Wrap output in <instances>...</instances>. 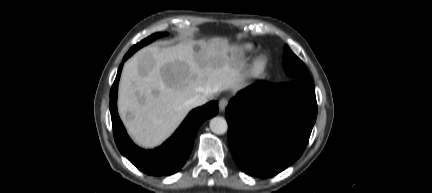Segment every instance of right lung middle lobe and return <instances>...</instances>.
<instances>
[{
  "instance_id": "1",
  "label": "right lung middle lobe",
  "mask_w": 432,
  "mask_h": 193,
  "mask_svg": "<svg viewBox=\"0 0 432 193\" xmlns=\"http://www.w3.org/2000/svg\"><path fill=\"white\" fill-rule=\"evenodd\" d=\"M163 33H155L152 34L150 37L142 40L141 42L137 43L136 45H134L128 52L127 54L132 55L134 52H136L138 49H140L141 47L149 44L150 42L154 41L156 38L163 36Z\"/></svg>"
}]
</instances>
